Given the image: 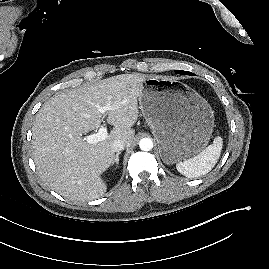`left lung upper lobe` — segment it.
<instances>
[{
  "mask_svg": "<svg viewBox=\"0 0 269 269\" xmlns=\"http://www.w3.org/2000/svg\"><path fill=\"white\" fill-rule=\"evenodd\" d=\"M175 73H177V74H184V75H194V74L191 73V72H188V71H181V70H175Z\"/></svg>",
  "mask_w": 269,
  "mask_h": 269,
  "instance_id": "obj_1",
  "label": "left lung upper lobe"
}]
</instances>
